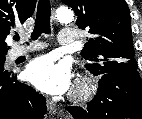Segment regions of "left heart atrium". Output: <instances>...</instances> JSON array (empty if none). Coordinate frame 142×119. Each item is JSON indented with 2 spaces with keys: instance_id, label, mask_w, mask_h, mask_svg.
<instances>
[{
  "instance_id": "obj_1",
  "label": "left heart atrium",
  "mask_w": 142,
  "mask_h": 119,
  "mask_svg": "<svg viewBox=\"0 0 142 119\" xmlns=\"http://www.w3.org/2000/svg\"><path fill=\"white\" fill-rule=\"evenodd\" d=\"M25 75L36 88L49 94L65 92L71 81L69 66L65 63H56L50 56L34 59L27 66Z\"/></svg>"
}]
</instances>
